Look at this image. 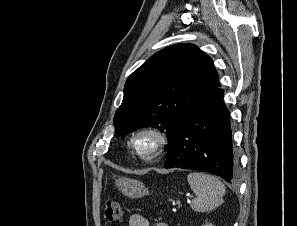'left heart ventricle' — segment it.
Returning <instances> with one entry per match:
<instances>
[{
  "label": "left heart ventricle",
  "instance_id": "1",
  "mask_svg": "<svg viewBox=\"0 0 297 226\" xmlns=\"http://www.w3.org/2000/svg\"><path fill=\"white\" fill-rule=\"evenodd\" d=\"M153 143V139L149 136H145V137H142L140 139V147L143 148V149H146L148 147H150V145Z\"/></svg>",
  "mask_w": 297,
  "mask_h": 226
}]
</instances>
